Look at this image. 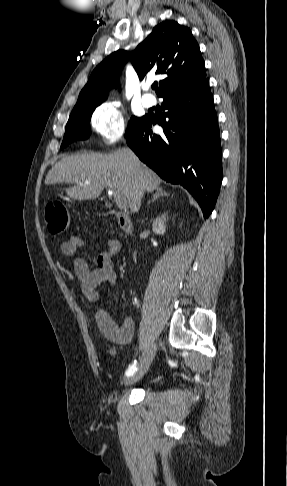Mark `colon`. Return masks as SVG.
I'll return each mask as SVG.
<instances>
[{"label": "colon", "instance_id": "1", "mask_svg": "<svg viewBox=\"0 0 287 486\" xmlns=\"http://www.w3.org/2000/svg\"><path fill=\"white\" fill-rule=\"evenodd\" d=\"M45 223L53 234L64 232L70 223L65 205L57 200L49 201L45 206Z\"/></svg>", "mask_w": 287, "mask_h": 486}]
</instances>
